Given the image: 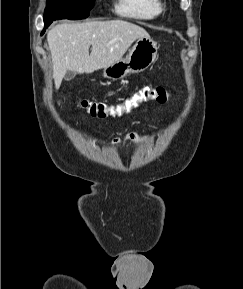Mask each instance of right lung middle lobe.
Wrapping results in <instances>:
<instances>
[{"label": "right lung middle lobe", "instance_id": "dd1d6c3e", "mask_svg": "<svg viewBox=\"0 0 243 289\" xmlns=\"http://www.w3.org/2000/svg\"><path fill=\"white\" fill-rule=\"evenodd\" d=\"M95 0H48L44 21L84 19L89 16Z\"/></svg>", "mask_w": 243, "mask_h": 289}]
</instances>
